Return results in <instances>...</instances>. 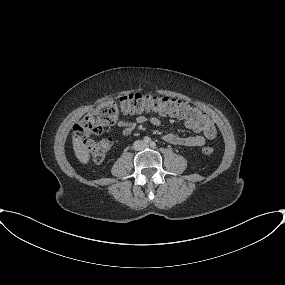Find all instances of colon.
Wrapping results in <instances>:
<instances>
[{"label":"colon","instance_id":"obj_1","mask_svg":"<svg viewBox=\"0 0 285 285\" xmlns=\"http://www.w3.org/2000/svg\"><path fill=\"white\" fill-rule=\"evenodd\" d=\"M119 112L129 114L156 112L172 115L185 119L208 136L216 135V127L211 117L187 101L155 94L129 93L120 97L117 102L98 105L75 125L74 137L88 149L93 161H103L110 150L111 143L109 140L94 142L92 137L100 134L105 127L113 125ZM213 152L214 149L211 146L203 148V153L206 155H211Z\"/></svg>","mask_w":285,"mask_h":285}]
</instances>
